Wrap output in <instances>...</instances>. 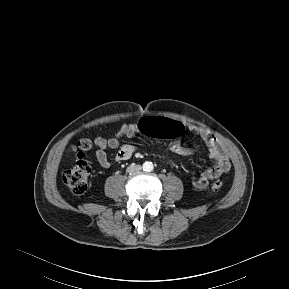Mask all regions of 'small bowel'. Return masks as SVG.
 Returning <instances> with one entry per match:
<instances>
[{"instance_id":"obj_1","label":"small bowel","mask_w":289,"mask_h":289,"mask_svg":"<svg viewBox=\"0 0 289 289\" xmlns=\"http://www.w3.org/2000/svg\"><path fill=\"white\" fill-rule=\"evenodd\" d=\"M180 124L185 128V130L187 129L201 138L208 150L209 156L216 162L214 167L203 171L198 179L193 183V186L197 189L204 188L210 180L227 173L231 169L228 152L207 130L193 124ZM139 133L138 123H125L114 136L110 138H96L94 141L97 147L95 156L100 166L103 168H109L111 165L107 154L108 149L118 150L114 158L116 162L130 159L135 152V147L130 144L121 145L120 141L123 137L132 138ZM170 150L179 155H190L195 151L194 148L184 145L179 137L175 138L171 143Z\"/></svg>"}]
</instances>
